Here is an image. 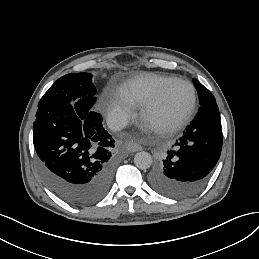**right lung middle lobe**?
<instances>
[{
  "instance_id": "obj_1",
  "label": "right lung middle lobe",
  "mask_w": 259,
  "mask_h": 259,
  "mask_svg": "<svg viewBox=\"0 0 259 259\" xmlns=\"http://www.w3.org/2000/svg\"><path fill=\"white\" fill-rule=\"evenodd\" d=\"M95 87L90 73H70L59 78L43 95L38 108L73 105L75 110L87 115L93 107Z\"/></svg>"
}]
</instances>
